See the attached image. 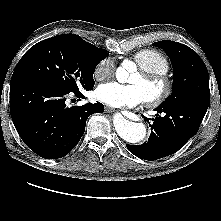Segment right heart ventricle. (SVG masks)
Instances as JSON below:
<instances>
[{"label": "right heart ventricle", "mask_w": 221, "mask_h": 221, "mask_svg": "<svg viewBox=\"0 0 221 221\" xmlns=\"http://www.w3.org/2000/svg\"><path fill=\"white\" fill-rule=\"evenodd\" d=\"M133 59L140 69L151 72L167 73L170 68L167 58L155 49L140 50L134 54Z\"/></svg>", "instance_id": "right-heart-ventricle-1"}]
</instances>
